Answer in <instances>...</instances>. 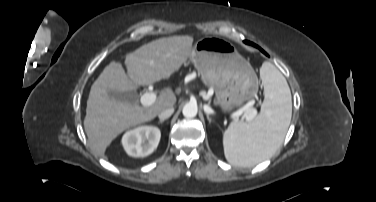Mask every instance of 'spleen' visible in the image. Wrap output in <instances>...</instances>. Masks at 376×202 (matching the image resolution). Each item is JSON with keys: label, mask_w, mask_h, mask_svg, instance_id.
<instances>
[{"label": "spleen", "mask_w": 376, "mask_h": 202, "mask_svg": "<svg viewBox=\"0 0 376 202\" xmlns=\"http://www.w3.org/2000/svg\"><path fill=\"white\" fill-rule=\"evenodd\" d=\"M260 77L265 96L260 114L251 123H231L223 135L224 154L232 165L249 167L271 157L290 125L292 99L285 77L268 61Z\"/></svg>", "instance_id": "1"}]
</instances>
